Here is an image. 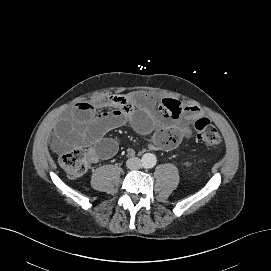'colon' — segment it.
<instances>
[{
  "label": "colon",
  "mask_w": 271,
  "mask_h": 271,
  "mask_svg": "<svg viewBox=\"0 0 271 271\" xmlns=\"http://www.w3.org/2000/svg\"><path fill=\"white\" fill-rule=\"evenodd\" d=\"M194 129L198 138L207 146L216 147L222 142L221 135L217 128L205 117H195ZM92 162V154L84 149H73L60 158V164L70 178L83 176Z\"/></svg>",
  "instance_id": "5ec220e1"
}]
</instances>
